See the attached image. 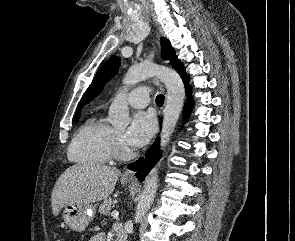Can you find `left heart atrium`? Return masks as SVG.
<instances>
[{
  "mask_svg": "<svg viewBox=\"0 0 295 241\" xmlns=\"http://www.w3.org/2000/svg\"><path fill=\"white\" fill-rule=\"evenodd\" d=\"M154 131L155 119L152 114L140 112L132 118L123 141L130 148H140L149 142Z\"/></svg>",
  "mask_w": 295,
  "mask_h": 241,
  "instance_id": "1",
  "label": "left heart atrium"
}]
</instances>
